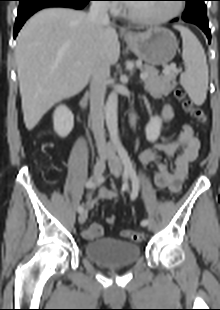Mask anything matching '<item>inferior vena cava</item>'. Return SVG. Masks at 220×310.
<instances>
[{
    "label": "inferior vena cava",
    "instance_id": "inferior-vena-cava-1",
    "mask_svg": "<svg viewBox=\"0 0 220 310\" xmlns=\"http://www.w3.org/2000/svg\"><path fill=\"white\" fill-rule=\"evenodd\" d=\"M88 19L97 28L109 24L108 7L104 1H92ZM110 72V65L106 61L100 62L92 71L90 82V120L92 131L97 143L100 156L113 152L112 147L105 141L104 135V99L106 92V79Z\"/></svg>",
    "mask_w": 220,
    "mask_h": 310
}]
</instances>
